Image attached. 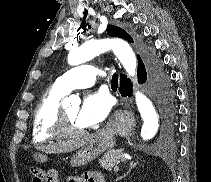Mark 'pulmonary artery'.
I'll return each mask as SVG.
<instances>
[{
  "instance_id": "1",
  "label": "pulmonary artery",
  "mask_w": 211,
  "mask_h": 182,
  "mask_svg": "<svg viewBox=\"0 0 211 182\" xmlns=\"http://www.w3.org/2000/svg\"><path fill=\"white\" fill-rule=\"evenodd\" d=\"M104 75L100 69L89 65H78L61 75L54 86L65 93H69L76 88H85L92 86L98 77Z\"/></svg>"
}]
</instances>
